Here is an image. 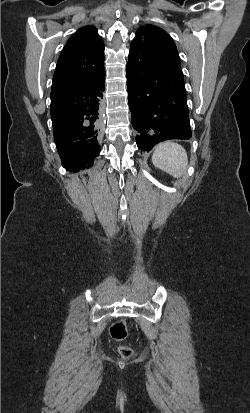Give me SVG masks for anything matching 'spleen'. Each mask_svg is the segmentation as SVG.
Here are the masks:
<instances>
[{
  "label": "spleen",
  "mask_w": 250,
  "mask_h": 413,
  "mask_svg": "<svg viewBox=\"0 0 250 413\" xmlns=\"http://www.w3.org/2000/svg\"><path fill=\"white\" fill-rule=\"evenodd\" d=\"M152 162L157 168L180 178L186 172L188 156L180 144L166 141L156 146Z\"/></svg>",
  "instance_id": "spleen-1"
}]
</instances>
